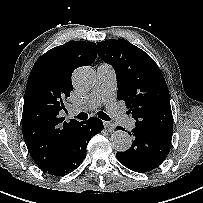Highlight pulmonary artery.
<instances>
[{"label": "pulmonary artery", "instance_id": "pulmonary-artery-1", "mask_svg": "<svg viewBox=\"0 0 203 203\" xmlns=\"http://www.w3.org/2000/svg\"><path fill=\"white\" fill-rule=\"evenodd\" d=\"M116 74L109 64H99L97 67V82L91 93L88 103L84 107H75L71 112L77 113L81 110H93L101 104H105L109 113L118 123L127 129L135 127V120L125 116L115 102Z\"/></svg>", "mask_w": 203, "mask_h": 203}]
</instances>
